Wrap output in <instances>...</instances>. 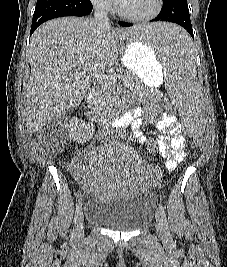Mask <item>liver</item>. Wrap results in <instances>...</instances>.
Listing matches in <instances>:
<instances>
[{
	"mask_svg": "<svg viewBox=\"0 0 227 267\" xmlns=\"http://www.w3.org/2000/svg\"><path fill=\"white\" fill-rule=\"evenodd\" d=\"M126 33L134 30L101 29L94 20L77 17L54 19L36 29L28 50L26 122L30 133L80 104L96 75L116 63V41L127 39ZM76 72L81 73L78 79Z\"/></svg>",
	"mask_w": 227,
	"mask_h": 267,
	"instance_id": "obj_1",
	"label": "liver"
}]
</instances>
